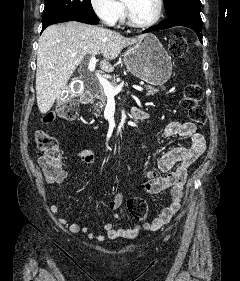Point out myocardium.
<instances>
[{"instance_id":"1","label":"myocardium","mask_w":240,"mask_h":281,"mask_svg":"<svg viewBox=\"0 0 240 281\" xmlns=\"http://www.w3.org/2000/svg\"><path fill=\"white\" fill-rule=\"evenodd\" d=\"M123 1H124L123 3H124V7H125V16H126L127 24L133 28L145 29V28L152 27L160 20V18L162 16L163 6H164L163 0H156V3H157L156 13H155L154 17L150 21H147V22L135 21L132 17V13H131V10H130L128 4L125 2V0H123Z\"/></svg>"}]
</instances>
